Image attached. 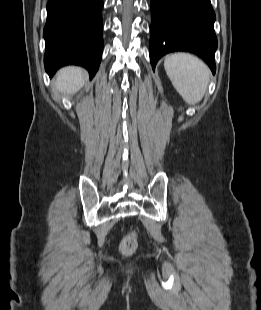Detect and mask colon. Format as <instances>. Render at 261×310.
Masks as SVG:
<instances>
[{"label":"colon","instance_id":"5ec220e1","mask_svg":"<svg viewBox=\"0 0 261 310\" xmlns=\"http://www.w3.org/2000/svg\"><path fill=\"white\" fill-rule=\"evenodd\" d=\"M137 247V237L134 233H130L123 238L120 244V250L124 255L132 254Z\"/></svg>","mask_w":261,"mask_h":310}]
</instances>
